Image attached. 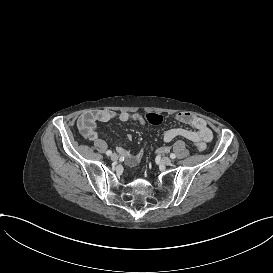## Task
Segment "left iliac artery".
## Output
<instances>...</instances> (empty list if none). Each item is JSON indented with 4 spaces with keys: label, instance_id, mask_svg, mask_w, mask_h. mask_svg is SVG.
<instances>
[{
    "label": "left iliac artery",
    "instance_id": "obj_1",
    "mask_svg": "<svg viewBox=\"0 0 273 273\" xmlns=\"http://www.w3.org/2000/svg\"><path fill=\"white\" fill-rule=\"evenodd\" d=\"M170 158H171V159H175V158H176V155H175L174 153H171V154H170Z\"/></svg>",
    "mask_w": 273,
    "mask_h": 273
}]
</instances>
